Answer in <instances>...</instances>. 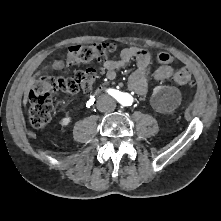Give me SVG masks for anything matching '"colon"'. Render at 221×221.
Wrapping results in <instances>:
<instances>
[{
	"label": "colon",
	"instance_id": "colon-1",
	"mask_svg": "<svg viewBox=\"0 0 221 221\" xmlns=\"http://www.w3.org/2000/svg\"><path fill=\"white\" fill-rule=\"evenodd\" d=\"M114 43H96L92 45H73L66 54L69 64L87 63L93 60H107L117 52ZM96 80L94 70H80L71 77L43 76L32 85L29 93V120L33 127L46 126L53 114L52 98L55 94H74L79 91L88 92L93 88ZM179 85H191L193 82L189 69L181 68L173 76Z\"/></svg>",
	"mask_w": 221,
	"mask_h": 221
}]
</instances>
